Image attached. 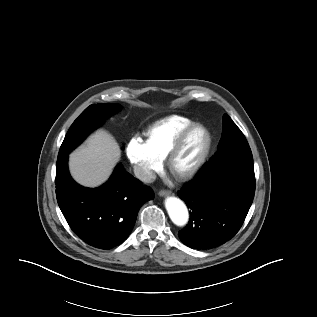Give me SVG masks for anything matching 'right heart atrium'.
<instances>
[{
  "label": "right heart atrium",
  "instance_id": "obj_1",
  "mask_svg": "<svg viewBox=\"0 0 317 317\" xmlns=\"http://www.w3.org/2000/svg\"><path fill=\"white\" fill-rule=\"evenodd\" d=\"M127 156L136 176L144 182L150 181L162 165V160L139 137H134L129 141Z\"/></svg>",
  "mask_w": 317,
  "mask_h": 317
}]
</instances>
